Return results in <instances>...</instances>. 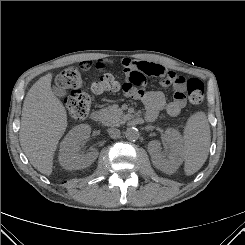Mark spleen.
Segmentation results:
<instances>
[{
	"mask_svg": "<svg viewBox=\"0 0 245 245\" xmlns=\"http://www.w3.org/2000/svg\"><path fill=\"white\" fill-rule=\"evenodd\" d=\"M183 141L184 170L186 175H192L205 163L211 141L210 128L204 112H197L188 119Z\"/></svg>",
	"mask_w": 245,
	"mask_h": 245,
	"instance_id": "spleen-1",
	"label": "spleen"
}]
</instances>
